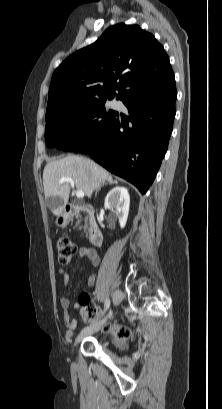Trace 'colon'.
Listing matches in <instances>:
<instances>
[{
    "mask_svg": "<svg viewBox=\"0 0 222 409\" xmlns=\"http://www.w3.org/2000/svg\"><path fill=\"white\" fill-rule=\"evenodd\" d=\"M75 253L76 245L73 241L68 238H60L57 241V259L60 265L68 264ZM96 314L97 310L93 308H87L84 311V315L87 318H91ZM114 333L118 340H124L130 336V330L126 327H118L114 330Z\"/></svg>",
    "mask_w": 222,
    "mask_h": 409,
    "instance_id": "obj_1",
    "label": "colon"
}]
</instances>
